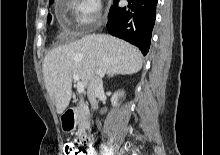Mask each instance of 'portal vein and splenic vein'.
Returning <instances> with one entry per match:
<instances>
[{
	"label": "portal vein and splenic vein",
	"instance_id": "portal-vein-and-splenic-vein-1",
	"mask_svg": "<svg viewBox=\"0 0 220 155\" xmlns=\"http://www.w3.org/2000/svg\"><path fill=\"white\" fill-rule=\"evenodd\" d=\"M73 79L77 83L76 84L77 91L79 93H83L84 92V84L80 81L79 75L78 74H73Z\"/></svg>",
	"mask_w": 220,
	"mask_h": 155
}]
</instances>
